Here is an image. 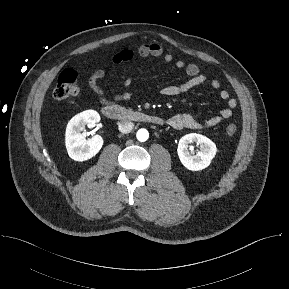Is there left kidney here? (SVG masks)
I'll list each match as a JSON object with an SVG mask.
<instances>
[{"mask_svg":"<svg viewBox=\"0 0 289 289\" xmlns=\"http://www.w3.org/2000/svg\"><path fill=\"white\" fill-rule=\"evenodd\" d=\"M197 143L200 146V151L196 154L189 151L191 143ZM216 145L206 136L191 133L183 136L178 144V156L181 163L188 170L199 171L208 167L212 159L216 155Z\"/></svg>","mask_w":289,"mask_h":289,"instance_id":"left-kidney-1","label":"left kidney"}]
</instances>
